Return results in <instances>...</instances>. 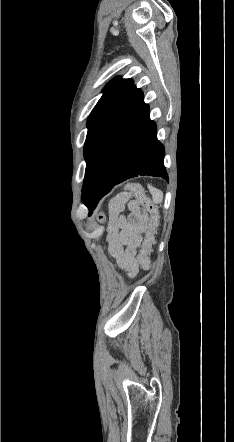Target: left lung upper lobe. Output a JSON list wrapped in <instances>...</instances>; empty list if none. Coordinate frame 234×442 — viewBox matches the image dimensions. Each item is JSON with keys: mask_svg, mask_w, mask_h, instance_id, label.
<instances>
[{"mask_svg": "<svg viewBox=\"0 0 234 442\" xmlns=\"http://www.w3.org/2000/svg\"><path fill=\"white\" fill-rule=\"evenodd\" d=\"M133 84L134 82L131 79H122L117 77L106 85L105 89L103 90V96L98 101L88 118L87 139L95 128L118 105L127 92L132 88Z\"/></svg>", "mask_w": 234, "mask_h": 442, "instance_id": "left-lung-upper-lobe-1", "label": "left lung upper lobe"}]
</instances>
